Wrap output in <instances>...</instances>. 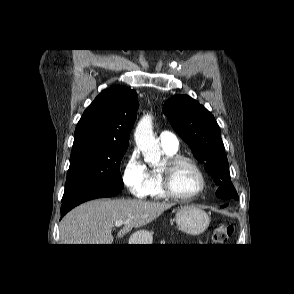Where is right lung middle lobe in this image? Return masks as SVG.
Instances as JSON below:
<instances>
[{
  "mask_svg": "<svg viewBox=\"0 0 294 294\" xmlns=\"http://www.w3.org/2000/svg\"><path fill=\"white\" fill-rule=\"evenodd\" d=\"M127 147L80 145L72 148L62 199L95 189H123L120 163Z\"/></svg>",
  "mask_w": 294,
  "mask_h": 294,
  "instance_id": "1",
  "label": "right lung middle lobe"
}]
</instances>
